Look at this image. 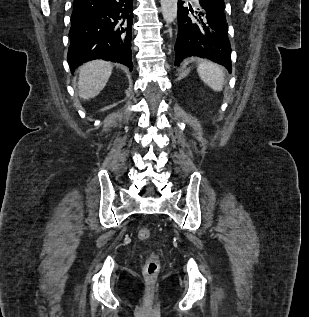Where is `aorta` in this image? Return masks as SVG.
I'll list each match as a JSON object with an SVG mask.
<instances>
[{"mask_svg": "<svg viewBox=\"0 0 309 317\" xmlns=\"http://www.w3.org/2000/svg\"><path fill=\"white\" fill-rule=\"evenodd\" d=\"M178 0H161L162 15L166 23H172L177 17Z\"/></svg>", "mask_w": 309, "mask_h": 317, "instance_id": "aorta-1", "label": "aorta"}]
</instances>
